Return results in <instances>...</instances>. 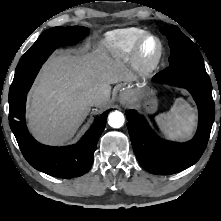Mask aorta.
I'll list each match as a JSON object with an SVG mask.
<instances>
[{"label": "aorta", "instance_id": "762f6f07", "mask_svg": "<svg viewBox=\"0 0 221 221\" xmlns=\"http://www.w3.org/2000/svg\"><path fill=\"white\" fill-rule=\"evenodd\" d=\"M124 121V115L120 111L111 112L108 116V124L113 128L122 127Z\"/></svg>", "mask_w": 221, "mask_h": 221}]
</instances>
